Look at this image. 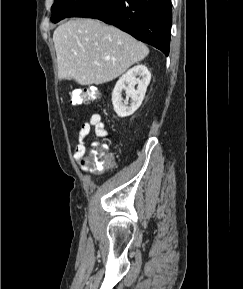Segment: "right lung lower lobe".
Here are the masks:
<instances>
[{"label":"right lung lower lobe","mask_w":243,"mask_h":289,"mask_svg":"<svg viewBox=\"0 0 243 289\" xmlns=\"http://www.w3.org/2000/svg\"><path fill=\"white\" fill-rule=\"evenodd\" d=\"M68 17L102 20L169 54L171 0H85Z\"/></svg>","instance_id":"obj_1"}]
</instances>
